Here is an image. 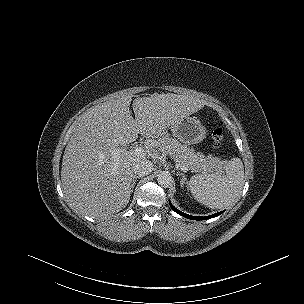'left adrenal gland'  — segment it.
<instances>
[{
    "instance_id": "left-adrenal-gland-1",
    "label": "left adrenal gland",
    "mask_w": 304,
    "mask_h": 304,
    "mask_svg": "<svg viewBox=\"0 0 304 304\" xmlns=\"http://www.w3.org/2000/svg\"><path fill=\"white\" fill-rule=\"evenodd\" d=\"M177 175L182 177L181 181H180V186H181V188H183L184 184H188L187 178H186L185 174L181 173V172H177Z\"/></svg>"
}]
</instances>
